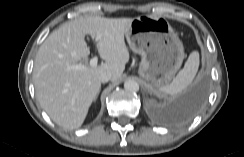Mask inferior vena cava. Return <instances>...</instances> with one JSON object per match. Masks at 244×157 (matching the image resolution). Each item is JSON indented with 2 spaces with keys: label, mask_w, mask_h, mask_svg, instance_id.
<instances>
[{
  "label": "inferior vena cava",
  "mask_w": 244,
  "mask_h": 157,
  "mask_svg": "<svg viewBox=\"0 0 244 157\" xmlns=\"http://www.w3.org/2000/svg\"><path fill=\"white\" fill-rule=\"evenodd\" d=\"M112 78V74L110 72H102L99 75V81L102 83L108 82Z\"/></svg>",
  "instance_id": "1"
}]
</instances>
